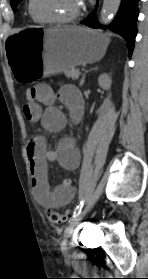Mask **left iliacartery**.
<instances>
[{"label": "left iliac artery", "mask_w": 148, "mask_h": 279, "mask_svg": "<svg viewBox=\"0 0 148 279\" xmlns=\"http://www.w3.org/2000/svg\"><path fill=\"white\" fill-rule=\"evenodd\" d=\"M83 205H84V201H81L80 204L75 208L71 220H73L74 218H76V217L81 213V210H82V208H83ZM71 220H70V221H71Z\"/></svg>", "instance_id": "left-iliac-artery-1"}]
</instances>
